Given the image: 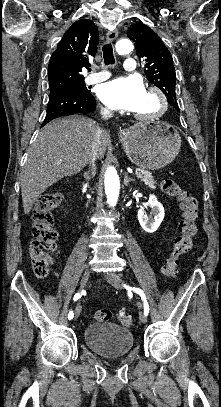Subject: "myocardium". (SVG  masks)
I'll list each match as a JSON object with an SVG mask.
<instances>
[{
    "mask_svg": "<svg viewBox=\"0 0 221 407\" xmlns=\"http://www.w3.org/2000/svg\"><path fill=\"white\" fill-rule=\"evenodd\" d=\"M146 91L156 97L158 102V109L151 114L135 113L134 117L142 121H151L162 117L165 114L168 107V101L165 93L163 92L162 89L154 85L147 87Z\"/></svg>",
    "mask_w": 221,
    "mask_h": 407,
    "instance_id": "obj_1",
    "label": "myocardium"
}]
</instances>
